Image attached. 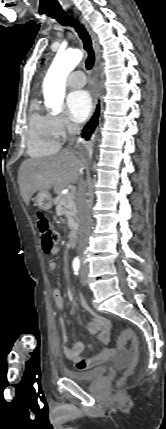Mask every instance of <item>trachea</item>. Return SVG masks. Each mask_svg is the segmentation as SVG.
Returning <instances> with one entry per match:
<instances>
[{"mask_svg":"<svg viewBox=\"0 0 166 429\" xmlns=\"http://www.w3.org/2000/svg\"><path fill=\"white\" fill-rule=\"evenodd\" d=\"M49 17L56 19L63 26H70L75 29V31L78 33L80 39L83 42L84 49L88 54V57L85 62L86 69H92L95 62V56L92 48L90 35L88 34L85 27L81 23H79L77 19L67 15L65 12L51 13L49 14Z\"/></svg>","mask_w":166,"mask_h":429,"instance_id":"3493384b","label":"trachea"}]
</instances>
